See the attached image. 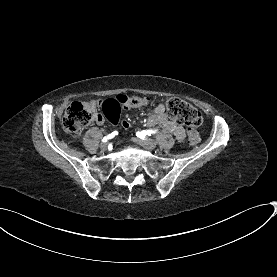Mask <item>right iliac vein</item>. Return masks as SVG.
Wrapping results in <instances>:
<instances>
[{"label":"right iliac vein","mask_w":277,"mask_h":277,"mask_svg":"<svg viewBox=\"0 0 277 277\" xmlns=\"http://www.w3.org/2000/svg\"><path fill=\"white\" fill-rule=\"evenodd\" d=\"M100 148H101L102 150H107V148H108V143H107V142H102L101 145H100Z\"/></svg>","instance_id":"right-iliac-vein-1"}]
</instances>
